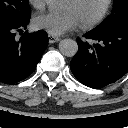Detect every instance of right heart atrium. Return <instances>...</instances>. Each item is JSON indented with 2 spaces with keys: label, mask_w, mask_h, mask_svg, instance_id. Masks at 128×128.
Wrapping results in <instances>:
<instances>
[{
  "label": "right heart atrium",
  "mask_w": 128,
  "mask_h": 128,
  "mask_svg": "<svg viewBox=\"0 0 128 128\" xmlns=\"http://www.w3.org/2000/svg\"><path fill=\"white\" fill-rule=\"evenodd\" d=\"M28 2L35 9H42L45 6V0H28Z\"/></svg>",
  "instance_id": "1"
}]
</instances>
